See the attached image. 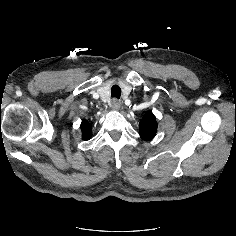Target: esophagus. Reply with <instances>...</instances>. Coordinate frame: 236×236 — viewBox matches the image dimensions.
Returning a JSON list of instances; mask_svg holds the SVG:
<instances>
[{
    "label": "esophagus",
    "instance_id": "obj_1",
    "mask_svg": "<svg viewBox=\"0 0 236 236\" xmlns=\"http://www.w3.org/2000/svg\"><path fill=\"white\" fill-rule=\"evenodd\" d=\"M111 108H112V110H114V111L119 110V108H120V102H119L117 99L112 100V102H111Z\"/></svg>",
    "mask_w": 236,
    "mask_h": 236
}]
</instances>
